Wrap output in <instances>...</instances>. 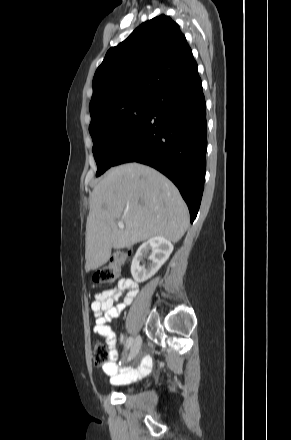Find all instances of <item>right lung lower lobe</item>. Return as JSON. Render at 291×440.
I'll use <instances>...</instances> for the list:
<instances>
[{"label": "right lung lower lobe", "mask_w": 291, "mask_h": 440, "mask_svg": "<svg viewBox=\"0 0 291 440\" xmlns=\"http://www.w3.org/2000/svg\"><path fill=\"white\" fill-rule=\"evenodd\" d=\"M206 102L195 68L154 96L153 107L112 166L126 162L149 165L166 175L196 218L206 171Z\"/></svg>", "instance_id": "1"}]
</instances>
